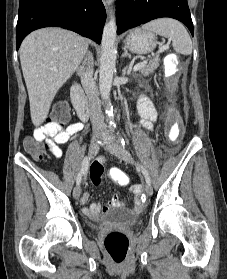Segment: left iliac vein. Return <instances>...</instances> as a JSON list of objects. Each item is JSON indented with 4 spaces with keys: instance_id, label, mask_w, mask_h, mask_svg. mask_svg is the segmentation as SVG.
Wrapping results in <instances>:
<instances>
[{
    "instance_id": "left-iliac-vein-1",
    "label": "left iliac vein",
    "mask_w": 227,
    "mask_h": 279,
    "mask_svg": "<svg viewBox=\"0 0 227 279\" xmlns=\"http://www.w3.org/2000/svg\"><path fill=\"white\" fill-rule=\"evenodd\" d=\"M105 149L107 151H109L111 154L115 155L117 158L128 162L130 164L134 163V160L132 158V156L130 155V153L128 151H126L124 148H122L117 142H115L114 140H112L111 142L107 143L105 145ZM144 192L146 193L147 196H151L153 193V189L151 187V185L146 184L144 186Z\"/></svg>"
}]
</instances>
